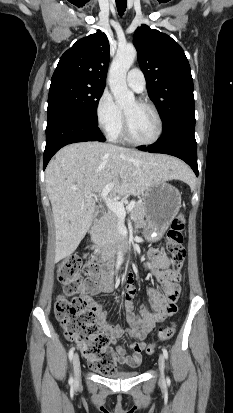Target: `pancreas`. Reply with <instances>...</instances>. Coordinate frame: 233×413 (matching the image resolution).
Wrapping results in <instances>:
<instances>
[{"label": "pancreas", "mask_w": 233, "mask_h": 413, "mask_svg": "<svg viewBox=\"0 0 233 413\" xmlns=\"http://www.w3.org/2000/svg\"><path fill=\"white\" fill-rule=\"evenodd\" d=\"M145 210L142 203H136L131 211L133 221L143 220ZM92 241L99 247L119 240V217L110 212L104 216L91 232Z\"/></svg>", "instance_id": "pancreas-1"}]
</instances>
